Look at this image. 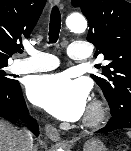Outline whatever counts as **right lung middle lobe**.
<instances>
[{"instance_id": "obj_1", "label": "right lung middle lobe", "mask_w": 131, "mask_h": 151, "mask_svg": "<svg viewBox=\"0 0 131 151\" xmlns=\"http://www.w3.org/2000/svg\"><path fill=\"white\" fill-rule=\"evenodd\" d=\"M8 63H0V85L2 84H10L15 82L16 80L10 79L8 75L3 70L4 67H6Z\"/></svg>"}]
</instances>
